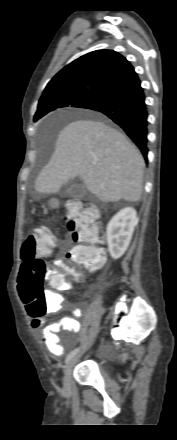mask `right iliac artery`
Returning a JSON list of instances; mask_svg holds the SVG:
<instances>
[{
    "instance_id": "obj_1",
    "label": "right iliac artery",
    "mask_w": 177,
    "mask_h": 440,
    "mask_svg": "<svg viewBox=\"0 0 177 440\" xmlns=\"http://www.w3.org/2000/svg\"><path fill=\"white\" fill-rule=\"evenodd\" d=\"M79 351V348L74 349L73 351H71L67 358H66V362H68L70 359H72Z\"/></svg>"
}]
</instances>
